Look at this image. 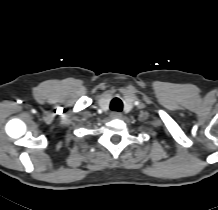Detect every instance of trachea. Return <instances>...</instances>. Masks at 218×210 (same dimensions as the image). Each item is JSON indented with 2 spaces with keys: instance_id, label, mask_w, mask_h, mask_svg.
Here are the masks:
<instances>
[{
  "instance_id": "trachea-1",
  "label": "trachea",
  "mask_w": 218,
  "mask_h": 210,
  "mask_svg": "<svg viewBox=\"0 0 218 210\" xmlns=\"http://www.w3.org/2000/svg\"><path fill=\"white\" fill-rule=\"evenodd\" d=\"M123 103L119 98H114L111 101L110 109L113 111H122Z\"/></svg>"
}]
</instances>
